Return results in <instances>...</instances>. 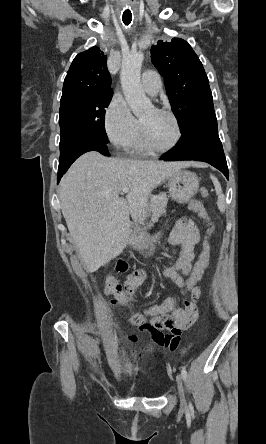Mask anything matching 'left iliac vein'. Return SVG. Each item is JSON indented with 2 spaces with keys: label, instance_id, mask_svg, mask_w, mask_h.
Wrapping results in <instances>:
<instances>
[{
  "label": "left iliac vein",
  "instance_id": "obj_1",
  "mask_svg": "<svg viewBox=\"0 0 266 444\" xmlns=\"http://www.w3.org/2000/svg\"><path fill=\"white\" fill-rule=\"evenodd\" d=\"M177 387H178V393H179V397H180L181 406L186 407L187 403H186V398H185V393H184L183 379L180 375L177 378Z\"/></svg>",
  "mask_w": 266,
  "mask_h": 444
}]
</instances>
